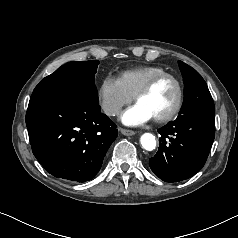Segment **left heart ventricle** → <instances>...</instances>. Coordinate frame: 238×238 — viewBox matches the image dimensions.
<instances>
[{"label":"left heart ventricle","instance_id":"1","mask_svg":"<svg viewBox=\"0 0 238 238\" xmlns=\"http://www.w3.org/2000/svg\"><path fill=\"white\" fill-rule=\"evenodd\" d=\"M177 98L175 83L170 79L159 81L152 90L138 100V104L151 113L153 118L167 114Z\"/></svg>","mask_w":238,"mask_h":238}]
</instances>
